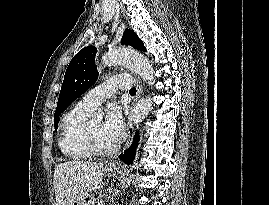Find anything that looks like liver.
<instances>
[{
	"label": "liver",
	"mask_w": 269,
	"mask_h": 205,
	"mask_svg": "<svg viewBox=\"0 0 269 205\" xmlns=\"http://www.w3.org/2000/svg\"><path fill=\"white\" fill-rule=\"evenodd\" d=\"M103 175V162L74 160L56 165L53 175L56 205H73L78 196L96 189Z\"/></svg>",
	"instance_id": "obj_1"
}]
</instances>
